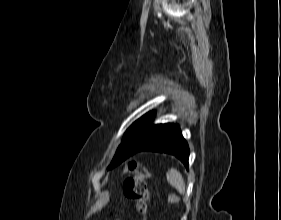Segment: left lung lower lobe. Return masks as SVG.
Returning <instances> with one entry per match:
<instances>
[{
    "label": "left lung lower lobe",
    "instance_id": "obj_1",
    "mask_svg": "<svg viewBox=\"0 0 281 220\" xmlns=\"http://www.w3.org/2000/svg\"><path fill=\"white\" fill-rule=\"evenodd\" d=\"M141 151L174 155L188 167L189 147L180 129L173 124H160L153 137L138 150Z\"/></svg>",
    "mask_w": 281,
    "mask_h": 220
}]
</instances>
